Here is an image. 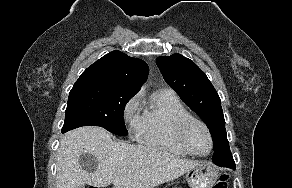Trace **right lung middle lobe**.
<instances>
[{"label":"right lung middle lobe","mask_w":292,"mask_h":188,"mask_svg":"<svg viewBox=\"0 0 292 188\" xmlns=\"http://www.w3.org/2000/svg\"><path fill=\"white\" fill-rule=\"evenodd\" d=\"M135 94L101 84H74L69 93L62 133L95 125L116 135H127L123 113L126 103Z\"/></svg>","instance_id":"1"}]
</instances>
